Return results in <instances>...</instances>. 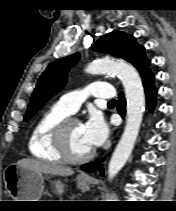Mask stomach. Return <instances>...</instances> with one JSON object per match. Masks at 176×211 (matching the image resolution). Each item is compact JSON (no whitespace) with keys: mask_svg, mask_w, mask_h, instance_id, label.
<instances>
[{"mask_svg":"<svg viewBox=\"0 0 176 211\" xmlns=\"http://www.w3.org/2000/svg\"><path fill=\"white\" fill-rule=\"evenodd\" d=\"M4 183L8 194L15 201H39L44 193V176L41 172H36L17 164L9 165L4 171ZM55 192H63V184L60 181L54 182ZM77 185L87 191L90 188V181L81 176L77 177Z\"/></svg>","mask_w":176,"mask_h":211,"instance_id":"1","label":"stomach"}]
</instances>
